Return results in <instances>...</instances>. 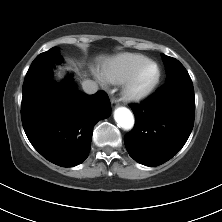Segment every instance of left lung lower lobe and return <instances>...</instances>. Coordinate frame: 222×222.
<instances>
[{"instance_id": "1", "label": "left lung lower lobe", "mask_w": 222, "mask_h": 222, "mask_svg": "<svg viewBox=\"0 0 222 222\" xmlns=\"http://www.w3.org/2000/svg\"><path fill=\"white\" fill-rule=\"evenodd\" d=\"M130 108L135 127L124 137L129 155L146 166L161 165L184 146L193 129L192 80L168 82L148 100Z\"/></svg>"}]
</instances>
